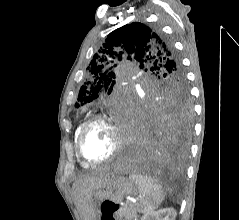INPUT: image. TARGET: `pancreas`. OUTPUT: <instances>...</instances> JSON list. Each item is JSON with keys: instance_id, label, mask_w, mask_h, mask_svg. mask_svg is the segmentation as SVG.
<instances>
[{"instance_id": "1", "label": "pancreas", "mask_w": 239, "mask_h": 220, "mask_svg": "<svg viewBox=\"0 0 239 220\" xmlns=\"http://www.w3.org/2000/svg\"><path fill=\"white\" fill-rule=\"evenodd\" d=\"M118 217L124 218V220H138L137 208L133 204H125L118 212Z\"/></svg>"}]
</instances>
